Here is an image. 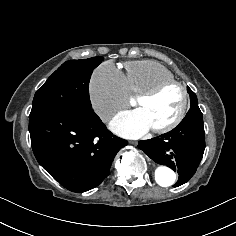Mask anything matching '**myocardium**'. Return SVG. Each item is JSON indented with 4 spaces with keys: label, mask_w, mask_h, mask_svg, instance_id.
<instances>
[{
    "label": "myocardium",
    "mask_w": 236,
    "mask_h": 236,
    "mask_svg": "<svg viewBox=\"0 0 236 236\" xmlns=\"http://www.w3.org/2000/svg\"><path fill=\"white\" fill-rule=\"evenodd\" d=\"M171 87H176L181 92L182 106H181L180 112L174 120H172L170 123L166 124L165 126L151 129V131L155 134L162 135V134L169 133L173 131L175 128H177L179 125H181L182 122L185 120L188 110H189V106H190V94L187 87L177 80H167V81H163L156 84L149 90L138 95L136 98L139 102H145V101L155 98L156 96L161 94L163 91Z\"/></svg>",
    "instance_id": "f54148a6"
}]
</instances>
